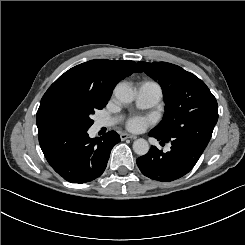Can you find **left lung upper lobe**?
I'll use <instances>...</instances> for the list:
<instances>
[{"mask_svg": "<svg viewBox=\"0 0 245 245\" xmlns=\"http://www.w3.org/2000/svg\"><path fill=\"white\" fill-rule=\"evenodd\" d=\"M138 63L164 93L165 114L153 130L164 137L186 134L209 140L218 120V105L205 83L177 65Z\"/></svg>", "mask_w": 245, "mask_h": 245, "instance_id": "5c2ea615", "label": "left lung upper lobe"}]
</instances>
